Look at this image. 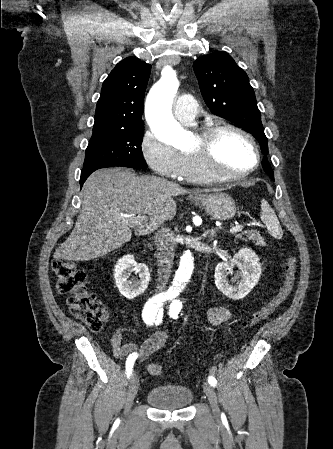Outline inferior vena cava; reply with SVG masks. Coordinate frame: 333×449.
Here are the masks:
<instances>
[{
	"label": "inferior vena cava",
	"instance_id": "602c4592",
	"mask_svg": "<svg viewBox=\"0 0 333 449\" xmlns=\"http://www.w3.org/2000/svg\"><path fill=\"white\" fill-rule=\"evenodd\" d=\"M155 244L158 258L157 291L166 289L174 262L175 241L168 229H162L155 234Z\"/></svg>",
	"mask_w": 333,
	"mask_h": 449
}]
</instances>
